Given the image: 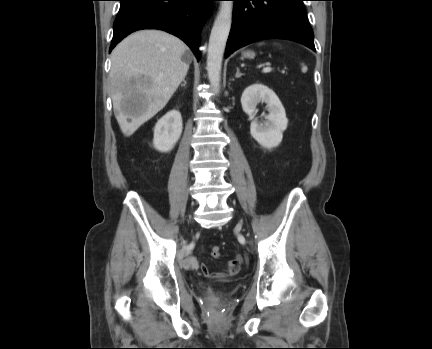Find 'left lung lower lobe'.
I'll return each mask as SVG.
<instances>
[{
	"label": "left lung lower lobe",
	"mask_w": 432,
	"mask_h": 349,
	"mask_svg": "<svg viewBox=\"0 0 432 349\" xmlns=\"http://www.w3.org/2000/svg\"><path fill=\"white\" fill-rule=\"evenodd\" d=\"M233 23L225 57L263 39L292 40L315 51L304 0H233Z\"/></svg>",
	"instance_id": "left-lung-lower-lobe-1"
}]
</instances>
